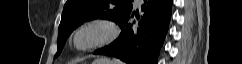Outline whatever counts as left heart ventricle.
<instances>
[{"instance_id":"obj_1","label":"left heart ventricle","mask_w":242,"mask_h":64,"mask_svg":"<svg viewBox=\"0 0 242 64\" xmlns=\"http://www.w3.org/2000/svg\"><path fill=\"white\" fill-rule=\"evenodd\" d=\"M93 33H89V34H85L82 39H81V42L84 43V42H87L89 39H91L93 37Z\"/></svg>"}]
</instances>
